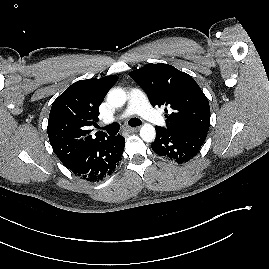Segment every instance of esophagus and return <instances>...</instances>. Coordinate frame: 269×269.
<instances>
[{
    "mask_svg": "<svg viewBox=\"0 0 269 269\" xmlns=\"http://www.w3.org/2000/svg\"><path fill=\"white\" fill-rule=\"evenodd\" d=\"M139 130L138 127H129V128H126V131L129 132V133H134V132H137Z\"/></svg>",
    "mask_w": 269,
    "mask_h": 269,
    "instance_id": "34e87169",
    "label": "esophagus"
}]
</instances>
